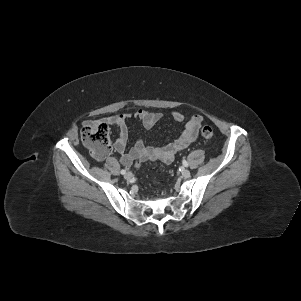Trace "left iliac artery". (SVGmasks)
Listing matches in <instances>:
<instances>
[{"instance_id":"44dca946","label":"left iliac artery","mask_w":301,"mask_h":301,"mask_svg":"<svg viewBox=\"0 0 301 301\" xmlns=\"http://www.w3.org/2000/svg\"><path fill=\"white\" fill-rule=\"evenodd\" d=\"M182 163L185 167H188V162L186 160H183Z\"/></svg>"}]
</instances>
